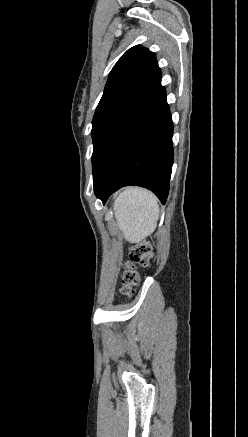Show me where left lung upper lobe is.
<instances>
[{
	"instance_id": "1",
	"label": "left lung upper lobe",
	"mask_w": 248,
	"mask_h": 437,
	"mask_svg": "<svg viewBox=\"0 0 248 437\" xmlns=\"http://www.w3.org/2000/svg\"><path fill=\"white\" fill-rule=\"evenodd\" d=\"M160 87L161 71L153 52L137 45L117 61L92 121L93 178L113 134Z\"/></svg>"
}]
</instances>
